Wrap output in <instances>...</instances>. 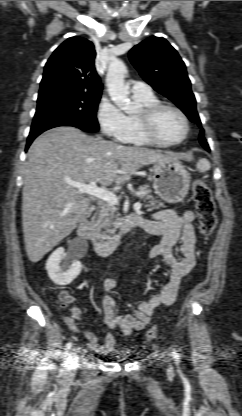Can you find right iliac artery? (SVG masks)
Returning a JSON list of instances; mask_svg holds the SVG:
<instances>
[{"label": "right iliac artery", "instance_id": "1", "mask_svg": "<svg viewBox=\"0 0 242 416\" xmlns=\"http://www.w3.org/2000/svg\"><path fill=\"white\" fill-rule=\"evenodd\" d=\"M71 348H72V342L67 343L65 348H64V359H66V357L69 354ZM66 364H67V361H64L63 365H66Z\"/></svg>", "mask_w": 242, "mask_h": 416}]
</instances>
